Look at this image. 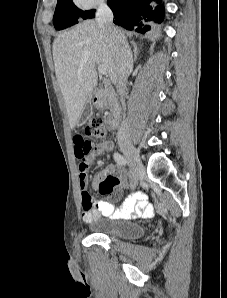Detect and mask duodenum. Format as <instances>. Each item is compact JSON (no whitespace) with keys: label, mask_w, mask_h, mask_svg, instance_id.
I'll return each instance as SVG.
<instances>
[{"label":"duodenum","mask_w":227,"mask_h":298,"mask_svg":"<svg viewBox=\"0 0 227 298\" xmlns=\"http://www.w3.org/2000/svg\"><path fill=\"white\" fill-rule=\"evenodd\" d=\"M95 105L100 109H107L105 122L110 130L117 128L120 119V106L114 95L108 90H100L94 98Z\"/></svg>","instance_id":"duodenum-1"}]
</instances>
